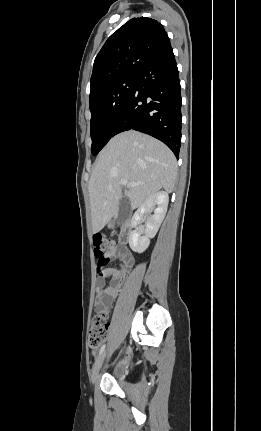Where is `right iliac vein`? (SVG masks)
I'll return each mask as SVG.
<instances>
[{
    "label": "right iliac vein",
    "mask_w": 261,
    "mask_h": 431,
    "mask_svg": "<svg viewBox=\"0 0 261 431\" xmlns=\"http://www.w3.org/2000/svg\"><path fill=\"white\" fill-rule=\"evenodd\" d=\"M105 357H106V352L102 353L98 357V359L96 360V362H95V364L93 366L92 375H91V381H92L93 384L96 382V380L98 378V375H99V372H100V369L102 367V364H103V361H104Z\"/></svg>",
    "instance_id": "1"
}]
</instances>
